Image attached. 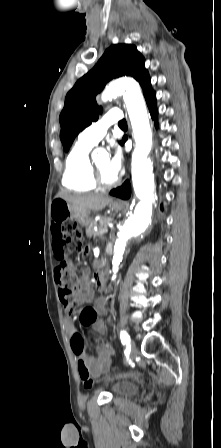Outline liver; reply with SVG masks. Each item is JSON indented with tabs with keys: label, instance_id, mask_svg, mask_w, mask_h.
I'll return each mask as SVG.
<instances>
[{
	"label": "liver",
	"instance_id": "6515ba94",
	"mask_svg": "<svg viewBox=\"0 0 221 448\" xmlns=\"http://www.w3.org/2000/svg\"><path fill=\"white\" fill-rule=\"evenodd\" d=\"M56 197L65 200L75 209L87 212L100 211L112 202L111 197H109L107 194L102 193L81 196L61 192Z\"/></svg>",
	"mask_w": 221,
	"mask_h": 448
}]
</instances>
